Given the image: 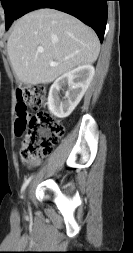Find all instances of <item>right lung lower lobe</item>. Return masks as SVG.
I'll return each instance as SVG.
<instances>
[{
    "mask_svg": "<svg viewBox=\"0 0 133 253\" xmlns=\"http://www.w3.org/2000/svg\"><path fill=\"white\" fill-rule=\"evenodd\" d=\"M108 0H24L16 19L39 9L53 8L71 14L93 28L103 41L107 22Z\"/></svg>",
    "mask_w": 133,
    "mask_h": 253,
    "instance_id": "98d812e1",
    "label": "right lung lower lobe"
}]
</instances>
